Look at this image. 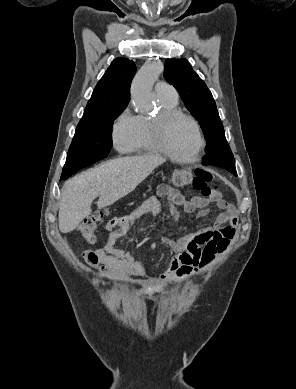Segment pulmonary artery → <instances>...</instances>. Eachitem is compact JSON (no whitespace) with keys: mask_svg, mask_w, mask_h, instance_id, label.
Returning a JSON list of instances; mask_svg holds the SVG:
<instances>
[{"mask_svg":"<svg viewBox=\"0 0 296 389\" xmlns=\"http://www.w3.org/2000/svg\"><path fill=\"white\" fill-rule=\"evenodd\" d=\"M155 92L157 96L168 97L172 99L178 98L176 89L167 82L160 81L155 85Z\"/></svg>","mask_w":296,"mask_h":389,"instance_id":"pulmonary-artery-1","label":"pulmonary artery"}]
</instances>
